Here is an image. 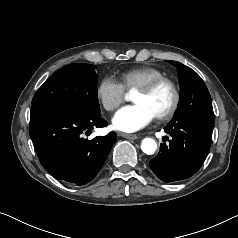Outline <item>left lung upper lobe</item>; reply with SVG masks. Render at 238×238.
<instances>
[{"instance_id":"obj_1","label":"left lung upper lobe","mask_w":238,"mask_h":238,"mask_svg":"<svg viewBox=\"0 0 238 238\" xmlns=\"http://www.w3.org/2000/svg\"><path fill=\"white\" fill-rule=\"evenodd\" d=\"M168 62L177 67L180 83V103L172 121L214 123L211 97L201 77L180 62Z\"/></svg>"}]
</instances>
